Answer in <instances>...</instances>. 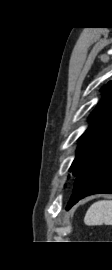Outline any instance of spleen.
<instances>
[{
	"label": "spleen",
	"instance_id": "3e777b00",
	"mask_svg": "<svg viewBox=\"0 0 112 270\" xmlns=\"http://www.w3.org/2000/svg\"><path fill=\"white\" fill-rule=\"evenodd\" d=\"M84 222L88 226L112 225V201L101 200L93 203L86 212Z\"/></svg>",
	"mask_w": 112,
	"mask_h": 270
}]
</instances>
